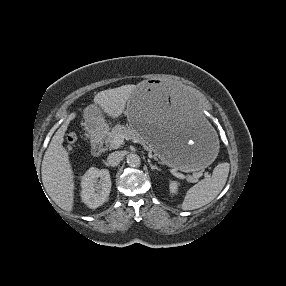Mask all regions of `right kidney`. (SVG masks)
Returning <instances> with one entry per match:
<instances>
[{
  "label": "right kidney",
  "instance_id": "1",
  "mask_svg": "<svg viewBox=\"0 0 286 286\" xmlns=\"http://www.w3.org/2000/svg\"><path fill=\"white\" fill-rule=\"evenodd\" d=\"M111 185L110 173L107 169L89 168L81 180L82 202L92 209L101 206L108 199Z\"/></svg>",
  "mask_w": 286,
  "mask_h": 286
}]
</instances>
